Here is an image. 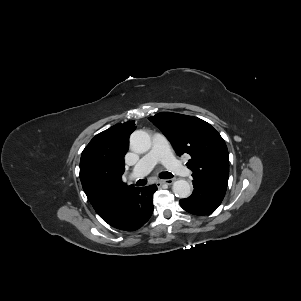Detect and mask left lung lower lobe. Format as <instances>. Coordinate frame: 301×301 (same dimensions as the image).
I'll return each instance as SVG.
<instances>
[{
    "label": "left lung lower lobe",
    "mask_w": 301,
    "mask_h": 301,
    "mask_svg": "<svg viewBox=\"0 0 301 301\" xmlns=\"http://www.w3.org/2000/svg\"><path fill=\"white\" fill-rule=\"evenodd\" d=\"M194 190L190 197L180 200L181 207L194 215H208L221 204L226 188L193 177Z\"/></svg>",
    "instance_id": "1"
}]
</instances>
